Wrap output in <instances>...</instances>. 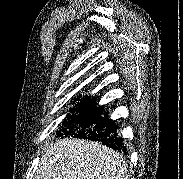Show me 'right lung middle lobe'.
<instances>
[{"mask_svg": "<svg viewBox=\"0 0 183 179\" xmlns=\"http://www.w3.org/2000/svg\"><path fill=\"white\" fill-rule=\"evenodd\" d=\"M78 101L80 99H77ZM94 98H84L70 109L66 115L62 128L57 132L60 137H75L81 135L83 131L96 124L102 114L103 107L95 105Z\"/></svg>", "mask_w": 183, "mask_h": 179, "instance_id": "dd1d6c3e", "label": "right lung middle lobe"}]
</instances>
